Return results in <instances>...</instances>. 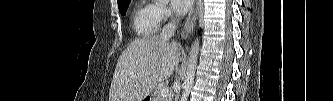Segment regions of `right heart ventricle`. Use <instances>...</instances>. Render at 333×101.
I'll return each mask as SVG.
<instances>
[{
  "label": "right heart ventricle",
  "mask_w": 333,
  "mask_h": 101,
  "mask_svg": "<svg viewBox=\"0 0 333 101\" xmlns=\"http://www.w3.org/2000/svg\"><path fill=\"white\" fill-rule=\"evenodd\" d=\"M132 25L138 36L149 37L156 33L159 27L156 5L152 3L140 5L134 13Z\"/></svg>",
  "instance_id": "1"
}]
</instances>
